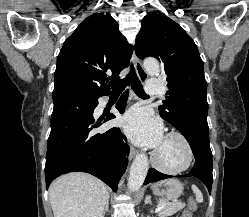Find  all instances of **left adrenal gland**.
I'll return each mask as SVG.
<instances>
[{"label":"left adrenal gland","mask_w":249,"mask_h":217,"mask_svg":"<svg viewBox=\"0 0 249 217\" xmlns=\"http://www.w3.org/2000/svg\"><path fill=\"white\" fill-rule=\"evenodd\" d=\"M145 204H150V205H152L151 197H150L149 195H147L146 198H145ZM151 212H153V210H151Z\"/></svg>","instance_id":"obj_1"}]
</instances>
